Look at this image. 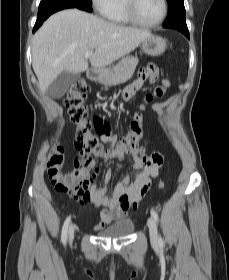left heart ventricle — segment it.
I'll list each match as a JSON object with an SVG mask.
<instances>
[{
    "label": "left heart ventricle",
    "instance_id": "obj_1",
    "mask_svg": "<svg viewBox=\"0 0 229 280\" xmlns=\"http://www.w3.org/2000/svg\"><path fill=\"white\" fill-rule=\"evenodd\" d=\"M134 8L139 19L153 22L162 13V2L161 0H135Z\"/></svg>",
    "mask_w": 229,
    "mask_h": 280
}]
</instances>
